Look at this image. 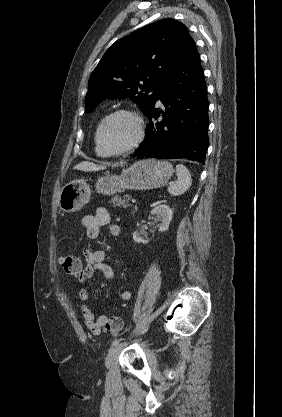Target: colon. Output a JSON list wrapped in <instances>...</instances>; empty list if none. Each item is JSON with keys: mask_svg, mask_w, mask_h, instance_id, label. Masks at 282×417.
<instances>
[{"mask_svg": "<svg viewBox=\"0 0 282 417\" xmlns=\"http://www.w3.org/2000/svg\"><path fill=\"white\" fill-rule=\"evenodd\" d=\"M80 256L66 255L62 259V269L68 276H80L84 270V266H79L78 259ZM122 321L118 316H111L107 322L106 328L112 335H116L121 329Z\"/></svg>", "mask_w": 282, "mask_h": 417, "instance_id": "5ec220e1", "label": "colon"}]
</instances>
